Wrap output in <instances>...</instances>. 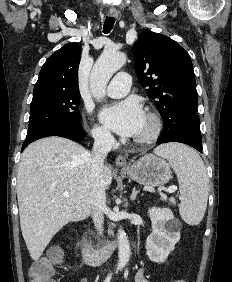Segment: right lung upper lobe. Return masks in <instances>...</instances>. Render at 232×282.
Listing matches in <instances>:
<instances>
[{"mask_svg": "<svg viewBox=\"0 0 232 282\" xmlns=\"http://www.w3.org/2000/svg\"><path fill=\"white\" fill-rule=\"evenodd\" d=\"M81 49L75 42L54 52L40 70L34 92H79L78 65Z\"/></svg>", "mask_w": 232, "mask_h": 282, "instance_id": "obj_1", "label": "right lung upper lobe"}]
</instances>
